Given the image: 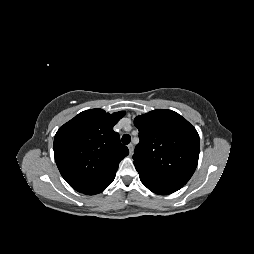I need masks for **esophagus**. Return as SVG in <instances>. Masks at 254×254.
<instances>
[{"mask_svg":"<svg viewBox=\"0 0 254 254\" xmlns=\"http://www.w3.org/2000/svg\"><path fill=\"white\" fill-rule=\"evenodd\" d=\"M128 149H129L130 155H132L133 152H134V146H133V144H129L128 145Z\"/></svg>","mask_w":254,"mask_h":254,"instance_id":"esophagus-1","label":"esophagus"}]
</instances>
